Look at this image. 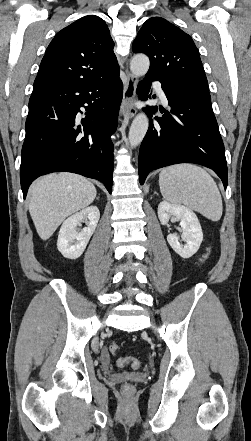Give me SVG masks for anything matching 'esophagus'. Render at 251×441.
Instances as JSON below:
<instances>
[{
    "label": "esophagus",
    "instance_id": "obj_1",
    "mask_svg": "<svg viewBox=\"0 0 251 441\" xmlns=\"http://www.w3.org/2000/svg\"><path fill=\"white\" fill-rule=\"evenodd\" d=\"M137 78L127 72L126 82L124 84L123 100L120 108V113L123 116L133 118L136 115L137 109L134 106L135 91Z\"/></svg>",
    "mask_w": 251,
    "mask_h": 441
}]
</instances>
